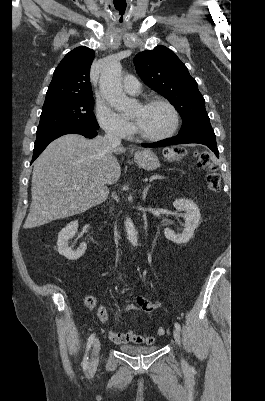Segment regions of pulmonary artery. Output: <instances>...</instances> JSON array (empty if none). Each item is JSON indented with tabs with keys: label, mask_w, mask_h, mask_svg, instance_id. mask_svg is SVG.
I'll use <instances>...</instances> for the list:
<instances>
[{
	"label": "pulmonary artery",
	"mask_w": 265,
	"mask_h": 401,
	"mask_svg": "<svg viewBox=\"0 0 265 401\" xmlns=\"http://www.w3.org/2000/svg\"><path fill=\"white\" fill-rule=\"evenodd\" d=\"M123 88L129 95L137 93L139 91L137 77L135 75H126L123 81Z\"/></svg>",
	"instance_id": "pulmonary-artery-1"
}]
</instances>
